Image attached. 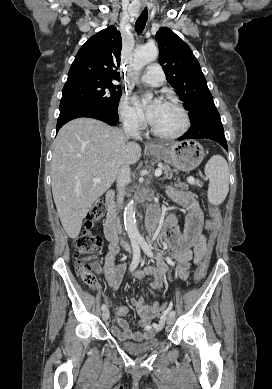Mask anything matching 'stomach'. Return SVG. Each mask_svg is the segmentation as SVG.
<instances>
[{
	"instance_id": "0dacf381",
	"label": "stomach",
	"mask_w": 272,
	"mask_h": 389,
	"mask_svg": "<svg viewBox=\"0 0 272 389\" xmlns=\"http://www.w3.org/2000/svg\"><path fill=\"white\" fill-rule=\"evenodd\" d=\"M149 152L183 172H190L198 167L205 156L203 147L194 140H184L170 146L159 145L156 149H149Z\"/></svg>"
}]
</instances>
